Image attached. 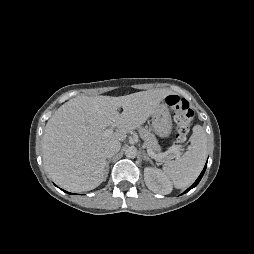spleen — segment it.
Listing matches in <instances>:
<instances>
[{
    "label": "spleen",
    "mask_w": 254,
    "mask_h": 254,
    "mask_svg": "<svg viewBox=\"0 0 254 254\" xmlns=\"http://www.w3.org/2000/svg\"><path fill=\"white\" fill-rule=\"evenodd\" d=\"M207 157V136L200 125L193 127L190 146L184 155L163 166L164 174L177 189L190 185L202 171Z\"/></svg>",
    "instance_id": "1"
}]
</instances>
